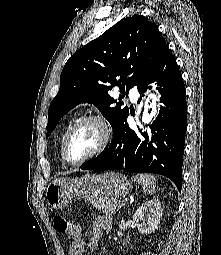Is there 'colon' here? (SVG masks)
<instances>
[{"label":"colon","mask_w":221,"mask_h":255,"mask_svg":"<svg viewBox=\"0 0 221 255\" xmlns=\"http://www.w3.org/2000/svg\"><path fill=\"white\" fill-rule=\"evenodd\" d=\"M54 226L57 231L62 233H69L71 235L77 234L79 232V227L69 222L63 216L57 215L53 219Z\"/></svg>","instance_id":"obj_1"}]
</instances>
